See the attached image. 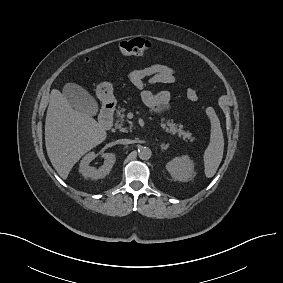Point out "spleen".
<instances>
[{
    "mask_svg": "<svg viewBox=\"0 0 283 283\" xmlns=\"http://www.w3.org/2000/svg\"><path fill=\"white\" fill-rule=\"evenodd\" d=\"M207 115L211 122L210 142L207 146L203 159H204V171L207 178H211L215 175L221 161L224 152V137L220 125V120L216 115L213 108L207 109Z\"/></svg>",
    "mask_w": 283,
    "mask_h": 283,
    "instance_id": "3e777b00",
    "label": "spleen"
}]
</instances>
